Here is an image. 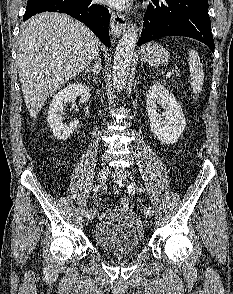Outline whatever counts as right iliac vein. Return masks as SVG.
<instances>
[{"label": "right iliac vein", "mask_w": 233, "mask_h": 294, "mask_svg": "<svg viewBox=\"0 0 233 294\" xmlns=\"http://www.w3.org/2000/svg\"><path fill=\"white\" fill-rule=\"evenodd\" d=\"M109 174V169L108 168H103L100 170L99 174H98V182L101 185L104 184V182L106 181V178ZM94 214H95V210L92 209L90 214L87 217L88 220L92 219L94 217Z\"/></svg>", "instance_id": "obj_1"}]
</instances>
